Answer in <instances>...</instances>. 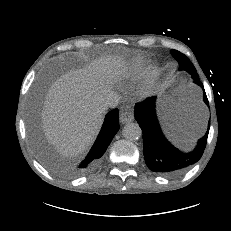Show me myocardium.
Segmentation results:
<instances>
[{"instance_id":"myocardium-1","label":"myocardium","mask_w":231,"mask_h":231,"mask_svg":"<svg viewBox=\"0 0 231 231\" xmlns=\"http://www.w3.org/2000/svg\"><path fill=\"white\" fill-rule=\"evenodd\" d=\"M156 78H157V73L154 70L150 71L147 74L144 82L140 86V88L138 90V94L142 97L148 96L154 87Z\"/></svg>"}]
</instances>
